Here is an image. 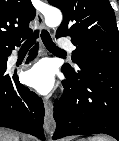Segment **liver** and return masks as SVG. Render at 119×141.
<instances>
[{
  "label": "liver",
  "mask_w": 119,
  "mask_h": 141,
  "mask_svg": "<svg viewBox=\"0 0 119 141\" xmlns=\"http://www.w3.org/2000/svg\"><path fill=\"white\" fill-rule=\"evenodd\" d=\"M18 139L12 131L0 128V141H18Z\"/></svg>",
  "instance_id": "1"
}]
</instances>
